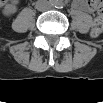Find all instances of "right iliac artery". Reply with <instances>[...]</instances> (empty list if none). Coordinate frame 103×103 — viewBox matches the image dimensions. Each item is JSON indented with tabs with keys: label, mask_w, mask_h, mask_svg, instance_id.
<instances>
[{
	"label": "right iliac artery",
	"mask_w": 103,
	"mask_h": 103,
	"mask_svg": "<svg viewBox=\"0 0 103 103\" xmlns=\"http://www.w3.org/2000/svg\"><path fill=\"white\" fill-rule=\"evenodd\" d=\"M51 4H52V5H56V1H55V0H52V1H51Z\"/></svg>",
	"instance_id": "right-iliac-artery-1"
}]
</instances>
